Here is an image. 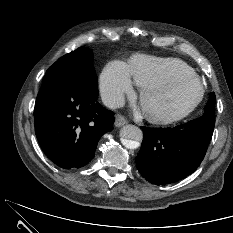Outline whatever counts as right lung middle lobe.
<instances>
[{"label": "right lung middle lobe", "instance_id": "obj_1", "mask_svg": "<svg viewBox=\"0 0 233 233\" xmlns=\"http://www.w3.org/2000/svg\"><path fill=\"white\" fill-rule=\"evenodd\" d=\"M92 61V51L86 47H80L61 57L47 70L45 76L88 77L97 83V76Z\"/></svg>", "mask_w": 233, "mask_h": 233}]
</instances>
